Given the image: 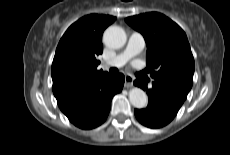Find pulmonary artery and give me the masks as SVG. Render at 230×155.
<instances>
[{"label": "pulmonary artery", "instance_id": "pulmonary-artery-1", "mask_svg": "<svg viewBox=\"0 0 230 155\" xmlns=\"http://www.w3.org/2000/svg\"><path fill=\"white\" fill-rule=\"evenodd\" d=\"M145 47V39L142 34L133 32L130 34L125 49L104 63L107 67H121L125 65L132 57L139 54Z\"/></svg>", "mask_w": 230, "mask_h": 155}]
</instances>
